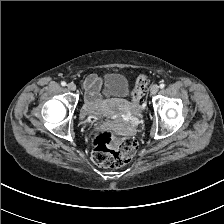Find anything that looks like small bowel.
Returning a JSON list of instances; mask_svg holds the SVG:
<instances>
[{"label":"small bowel","instance_id":"small-bowel-1","mask_svg":"<svg viewBox=\"0 0 224 224\" xmlns=\"http://www.w3.org/2000/svg\"><path fill=\"white\" fill-rule=\"evenodd\" d=\"M85 88L86 105L84 107V115L93 112L95 106L101 102L100 94L102 91V80L96 74L89 75L83 82Z\"/></svg>","mask_w":224,"mask_h":224}]
</instances>
